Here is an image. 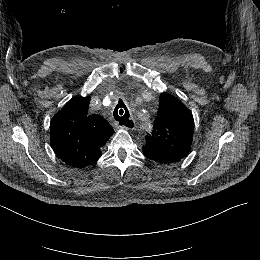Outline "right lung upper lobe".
Returning <instances> with one entry per match:
<instances>
[{
    "label": "right lung upper lobe",
    "instance_id": "right-lung-upper-lobe-1",
    "mask_svg": "<svg viewBox=\"0 0 260 260\" xmlns=\"http://www.w3.org/2000/svg\"><path fill=\"white\" fill-rule=\"evenodd\" d=\"M90 97L71 99L51 120L50 141L57 156L73 167L93 164L114 133L100 115H89Z\"/></svg>",
    "mask_w": 260,
    "mask_h": 260
}]
</instances>
